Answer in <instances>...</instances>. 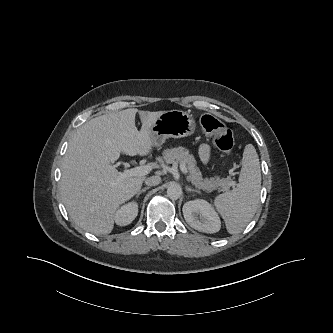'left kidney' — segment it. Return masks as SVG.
Masks as SVG:
<instances>
[{
  "instance_id": "left-kidney-1",
  "label": "left kidney",
  "mask_w": 333,
  "mask_h": 333,
  "mask_svg": "<svg viewBox=\"0 0 333 333\" xmlns=\"http://www.w3.org/2000/svg\"><path fill=\"white\" fill-rule=\"evenodd\" d=\"M186 222L195 230L216 233L221 228V220L214 208L206 200L188 201L183 206Z\"/></svg>"
}]
</instances>
